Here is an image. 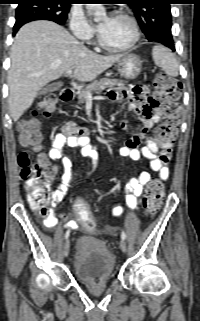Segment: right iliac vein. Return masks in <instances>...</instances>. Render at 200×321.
<instances>
[{
	"label": "right iliac vein",
	"instance_id": "right-iliac-vein-1",
	"mask_svg": "<svg viewBox=\"0 0 200 321\" xmlns=\"http://www.w3.org/2000/svg\"><path fill=\"white\" fill-rule=\"evenodd\" d=\"M69 248H70V243H69V240L67 239L66 242L64 243V246H63V253L65 256L68 255Z\"/></svg>",
	"mask_w": 200,
	"mask_h": 321
}]
</instances>
